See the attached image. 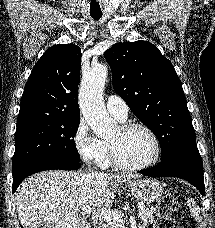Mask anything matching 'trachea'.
<instances>
[{
    "instance_id": "1",
    "label": "trachea",
    "mask_w": 215,
    "mask_h": 228,
    "mask_svg": "<svg viewBox=\"0 0 215 228\" xmlns=\"http://www.w3.org/2000/svg\"><path fill=\"white\" fill-rule=\"evenodd\" d=\"M94 20H99L102 17V14H90Z\"/></svg>"
}]
</instances>
